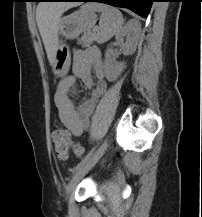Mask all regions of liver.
<instances>
[{
  "label": "liver",
  "mask_w": 202,
  "mask_h": 217,
  "mask_svg": "<svg viewBox=\"0 0 202 217\" xmlns=\"http://www.w3.org/2000/svg\"><path fill=\"white\" fill-rule=\"evenodd\" d=\"M77 3L40 2L36 9L37 26L45 46L50 65L55 62L58 45V23L62 14Z\"/></svg>",
  "instance_id": "6515ba94"
}]
</instances>
